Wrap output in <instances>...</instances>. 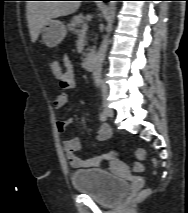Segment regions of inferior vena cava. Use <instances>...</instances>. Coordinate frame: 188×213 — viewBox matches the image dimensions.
I'll return each instance as SVG.
<instances>
[{
  "label": "inferior vena cava",
  "instance_id": "obj_1",
  "mask_svg": "<svg viewBox=\"0 0 188 213\" xmlns=\"http://www.w3.org/2000/svg\"><path fill=\"white\" fill-rule=\"evenodd\" d=\"M101 87H102L103 93L106 94V92H107V87H106L104 81H102Z\"/></svg>",
  "mask_w": 188,
  "mask_h": 213
}]
</instances>
